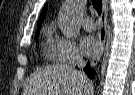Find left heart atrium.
<instances>
[{
    "label": "left heart atrium",
    "instance_id": "obj_1",
    "mask_svg": "<svg viewBox=\"0 0 135 95\" xmlns=\"http://www.w3.org/2000/svg\"><path fill=\"white\" fill-rule=\"evenodd\" d=\"M80 44H81L82 51L86 56L94 55L99 48V42L92 35L83 36L81 38Z\"/></svg>",
    "mask_w": 135,
    "mask_h": 95
}]
</instances>
